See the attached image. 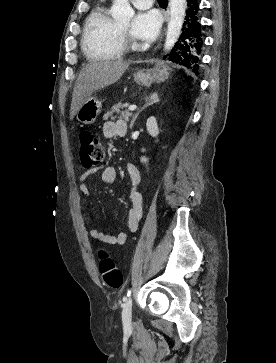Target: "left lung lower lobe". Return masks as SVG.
Instances as JSON below:
<instances>
[{
	"label": "left lung lower lobe",
	"mask_w": 276,
	"mask_h": 363,
	"mask_svg": "<svg viewBox=\"0 0 276 363\" xmlns=\"http://www.w3.org/2000/svg\"><path fill=\"white\" fill-rule=\"evenodd\" d=\"M185 22L179 40L168 59L198 74L200 47L202 46L201 24L198 22V0H187Z\"/></svg>",
	"instance_id": "0a47b994"
}]
</instances>
